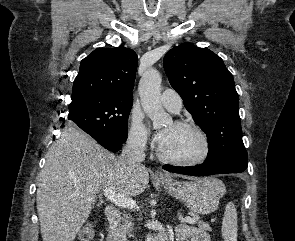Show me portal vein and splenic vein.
Here are the masks:
<instances>
[{"instance_id": "1", "label": "portal vein and splenic vein", "mask_w": 295, "mask_h": 241, "mask_svg": "<svg viewBox=\"0 0 295 241\" xmlns=\"http://www.w3.org/2000/svg\"><path fill=\"white\" fill-rule=\"evenodd\" d=\"M104 196L113 202L116 206L122 207V208H128V209H139L138 205L136 204V201H134L132 198L122 196L120 194L116 193V190L113 188H106L103 190ZM184 222L189 224H195L196 220L194 218L186 217L183 219Z\"/></svg>"}]
</instances>
